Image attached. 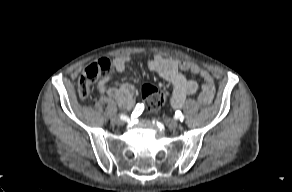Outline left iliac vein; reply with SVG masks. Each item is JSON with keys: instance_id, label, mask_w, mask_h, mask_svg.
<instances>
[{"instance_id": "left-iliac-vein-1", "label": "left iliac vein", "mask_w": 292, "mask_h": 192, "mask_svg": "<svg viewBox=\"0 0 292 192\" xmlns=\"http://www.w3.org/2000/svg\"><path fill=\"white\" fill-rule=\"evenodd\" d=\"M164 122L170 129H176L178 127V122L171 118H165Z\"/></svg>"}]
</instances>
